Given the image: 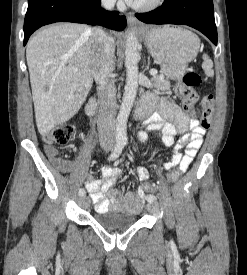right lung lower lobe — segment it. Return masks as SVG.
<instances>
[{"mask_svg": "<svg viewBox=\"0 0 247 275\" xmlns=\"http://www.w3.org/2000/svg\"><path fill=\"white\" fill-rule=\"evenodd\" d=\"M100 0H28L24 20V45L28 36L41 26L55 22H75L121 31L126 27L125 16L105 11Z\"/></svg>", "mask_w": 247, "mask_h": 275, "instance_id": "obj_1", "label": "right lung lower lobe"}]
</instances>
